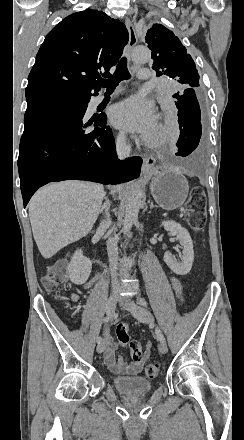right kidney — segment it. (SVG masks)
I'll return each mask as SVG.
<instances>
[{
    "label": "right kidney",
    "mask_w": 244,
    "mask_h": 440,
    "mask_svg": "<svg viewBox=\"0 0 244 440\" xmlns=\"http://www.w3.org/2000/svg\"><path fill=\"white\" fill-rule=\"evenodd\" d=\"M92 262L83 256L82 250H76L69 266L68 274L71 282L81 286L87 282L91 274Z\"/></svg>",
    "instance_id": "ca27d5eb"
}]
</instances>
